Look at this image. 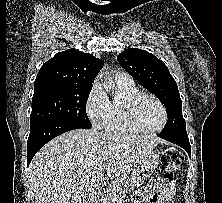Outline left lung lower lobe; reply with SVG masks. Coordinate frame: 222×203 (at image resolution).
<instances>
[{
    "instance_id": "obj_1",
    "label": "left lung lower lobe",
    "mask_w": 222,
    "mask_h": 203,
    "mask_svg": "<svg viewBox=\"0 0 222 203\" xmlns=\"http://www.w3.org/2000/svg\"><path fill=\"white\" fill-rule=\"evenodd\" d=\"M158 136L178 146H181L186 150L188 155L191 157V147L188 136H174V135H161V134H159Z\"/></svg>"
}]
</instances>
